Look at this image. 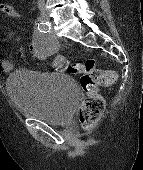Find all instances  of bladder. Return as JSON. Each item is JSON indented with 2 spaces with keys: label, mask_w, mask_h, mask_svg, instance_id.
I'll return each mask as SVG.
<instances>
[{
  "label": "bladder",
  "mask_w": 143,
  "mask_h": 170,
  "mask_svg": "<svg viewBox=\"0 0 143 170\" xmlns=\"http://www.w3.org/2000/svg\"><path fill=\"white\" fill-rule=\"evenodd\" d=\"M5 89L22 115L57 125L72 119L80 94L68 74L28 69L13 71Z\"/></svg>",
  "instance_id": "obj_1"
}]
</instances>
